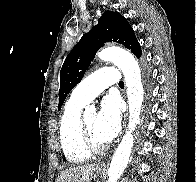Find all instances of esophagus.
I'll list each match as a JSON object with an SVG mask.
<instances>
[{"label": "esophagus", "mask_w": 196, "mask_h": 182, "mask_svg": "<svg viewBox=\"0 0 196 182\" xmlns=\"http://www.w3.org/2000/svg\"><path fill=\"white\" fill-rule=\"evenodd\" d=\"M126 118H127V114H126L125 119H126ZM97 166H98V167H105V164H104V163H99Z\"/></svg>", "instance_id": "esophagus-1"}]
</instances>
